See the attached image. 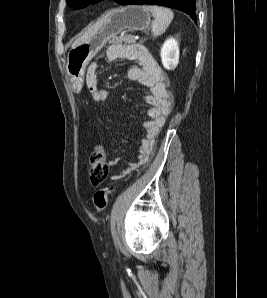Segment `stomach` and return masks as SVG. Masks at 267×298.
I'll return each mask as SVG.
<instances>
[{
	"instance_id": "obj_1",
	"label": "stomach",
	"mask_w": 267,
	"mask_h": 298,
	"mask_svg": "<svg viewBox=\"0 0 267 298\" xmlns=\"http://www.w3.org/2000/svg\"><path fill=\"white\" fill-rule=\"evenodd\" d=\"M106 22L87 42L70 50L67 57V75L76 92L83 87L86 66L105 44L122 31H143L149 28L150 13L143 6L129 5L108 12Z\"/></svg>"
}]
</instances>
